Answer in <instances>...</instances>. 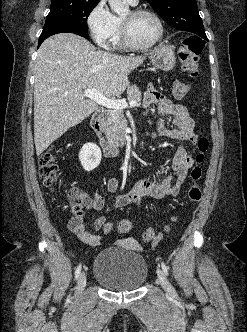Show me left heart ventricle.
Segmentation results:
<instances>
[{"instance_id":"b2bd125f","label":"left heart ventricle","mask_w":247,"mask_h":332,"mask_svg":"<svg viewBox=\"0 0 247 332\" xmlns=\"http://www.w3.org/2000/svg\"><path fill=\"white\" fill-rule=\"evenodd\" d=\"M122 19L127 22L130 35L137 44H149L159 35V26L156 20L150 15L134 16L129 11Z\"/></svg>"}]
</instances>
